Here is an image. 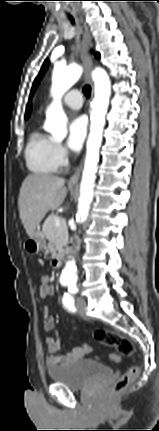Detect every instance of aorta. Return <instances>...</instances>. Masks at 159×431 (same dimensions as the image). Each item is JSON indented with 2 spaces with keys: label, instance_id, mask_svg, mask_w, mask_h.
<instances>
[{
  "label": "aorta",
  "instance_id": "aorta-1",
  "mask_svg": "<svg viewBox=\"0 0 159 431\" xmlns=\"http://www.w3.org/2000/svg\"><path fill=\"white\" fill-rule=\"evenodd\" d=\"M82 71V67L76 64L68 67L55 66L54 68L51 89L54 101L46 113L45 129L49 131L55 139H63L67 133L66 115L62 109L61 97L78 81ZM92 79L95 85V97L91 105V127L80 186L78 213L76 215V221L78 223H83L87 219L90 204L93 200L95 173L99 160L102 131L111 95V82L104 69L99 67L95 68L92 71ZM61 278L69 286H74L76 284L77 265L74 259L66 262Z\"/></svg>",
  "mask_w": 159,
  "mask_h": 431
}]
</instances>
